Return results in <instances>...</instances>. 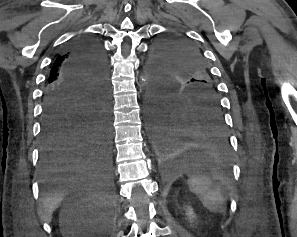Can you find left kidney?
<instances>
[{"label":"left kidney","mask_w":297,"mask_h":237,"mask_svg":"<svg viewBox=\"0 0 297 237\" xmlns=\"http://www.w3.org/2000/svg\"><path fill=\"white\" fill-rule=\"evenodd\" d=\"M186 215L188 216V219H189L190 222H192L194 220V218H195L194 211H193V209L190 206L187 207V213H186Z\"/></svg>","instance_id":"5707ae66"}]
</instances>
